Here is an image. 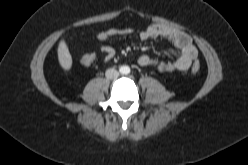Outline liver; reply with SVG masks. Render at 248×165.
<instances>
[{"instance_id": "6515ba94", "label": "liver", "mask_w": 248, "mask_h": 165, "mask_svg": "<svg viewBox=\"0 0 248 165\" xmlns=\"http://www.w3.org/2000/svg\"><path fill=\"white\" fill-rule=\"evenodd\" d=\"M58 60L64 70H70L72 66V57L64 40H61L58 45Z\"/></svg>"}]
</instances>
